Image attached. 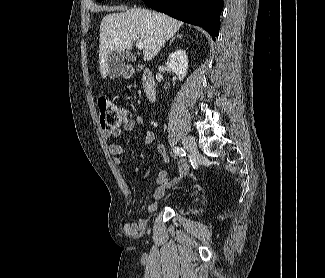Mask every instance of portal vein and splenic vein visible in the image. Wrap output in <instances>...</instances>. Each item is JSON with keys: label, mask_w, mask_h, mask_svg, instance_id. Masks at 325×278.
<instances>
[{"label": "portal vein and splenic vein", "mask_w": 325, "mask_h": 278, "mask_svg": "<svg viewBox=\"0 0 325 278\" xmlns=\"http://www.w3.org/2000/svg\"><path fill=\"white\" fill-rule=\"evenodd\" d=\"M136 47L142 49L144 47V42L142 40H137Z\"/></svg>", "instance_id": "portal-vein-and-splenic-vein-1"}]
</instances>
